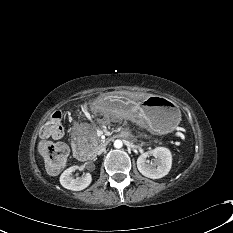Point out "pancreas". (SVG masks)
Segmentation results:
<instances>
[{
  "instance_id": "obj_1",
  "label": "pancreas",
  "mask_w": 233,
  "mask_h": 233,
  "mask_svg": "<svg viewBox=\"0 0 233 233\" xmlns=\"http://www.w3.org/2000/svg\"><path fill=\"white\" fill-rule=\"evenodd\" d=\"M97 139L94 137V146H97Z\"/></svg>"
}]
</instances>
